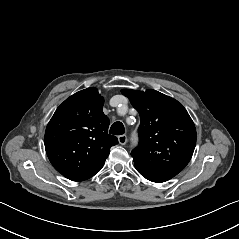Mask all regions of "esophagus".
I'll list each match as a JSON object with an SVG mask.
<instances>
[{
    "label": "esophagus",
    "instance_id": "1",
    "mask_svg": "<svg viewBox=\"0 0 239 239\" xmlns=\"http://www.w3.org/2000/svg\"><path fill=\"white\" fill-rule=\"evenodd\" d=\"M118 141L121 145H125L127 142V136L126 135H120L118 136Z\"/></svg>",
    "mask_w": 239,
    "mask_h": 239
}]
</instances>
